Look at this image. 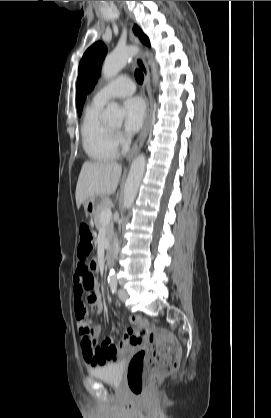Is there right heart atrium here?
<instances>
[{"mask_svg":"<svg viewBox=\"0 0 271 418\" xmlns=\"http://www.w3.org/2000/svg\"><path fill=\"white\" fill-rule=\"evenodd\" d=\"M115 142L117 146L126 147L129 143V140L120 132L115 133Z\"/></svg>","mask_w":271,"mask_h":418,"instance_id":"d8ad5b80","label":"right heart atrium"}]
</instances>
